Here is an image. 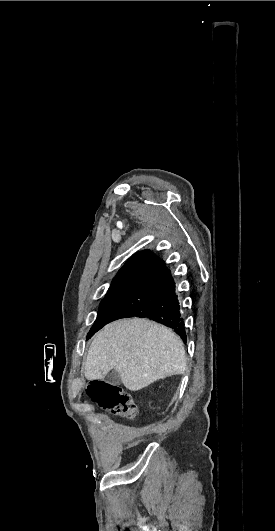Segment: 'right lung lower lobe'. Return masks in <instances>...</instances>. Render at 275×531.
<instances>
[{"label": "right lung lower lobe", "instance_id": "98d812e1", "mask_svg": "<svg viewBox=\"0 0 275 531\" xmlns=\"http://www.w3.org/2000/svg\"><path fill=\"white\" fill-rule=\"evenodd\" d=\"M126 317L149 318L172 329L186 342L175 283L161 259H156L119 300L108 310L99 329L107 323Z\"/></svg>", "mask_w": 275, "mask_h": 531}]
</instances>
